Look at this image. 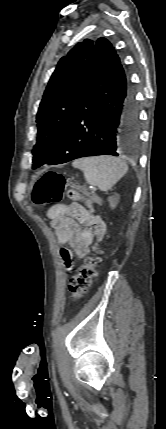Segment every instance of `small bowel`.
I'll use <instances>...</instances> for the list:
<instances>
[{
    "instance_id": "obj_1",
    "label": "small bowel",
    "mask_w": 166,
    "mask_h": 429,
    "mask_svg": "<svg viewBox=\"0 0 166 429\" xmlns=\"http://www.w3.org/2000/svg\"><path fill=\"white\" fill-rule=\"evenodd\" d=\"M47 216L57 242L70 246V249L60 250L61 259L68 269L72 267L74 254L86 258L94 239L100 240L106 231L105 222L90 205L85 208L77 203L58 204L49 208Z\"/></svg>"
}]
</instances>
